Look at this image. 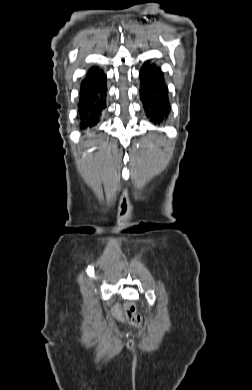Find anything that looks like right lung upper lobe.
Here are the masks:
<instances>
[{"mask_svg":"<svg viewBox=\"0 0 252 390\" xmlns=\"http://www.w3.org/2000/svg\"><path fill=\"white\" fill-rule=\"evenodd\" d=\"M98 69H99L98 67L93 66L92 68L89 69L88 72H92V71H95V70H98Z\"/></svg>","mask_w":252,"mask_h":390,"instance_id":"right-lung-upper-lobe-1","label":"right lung upper lobe"}]
</instances>
